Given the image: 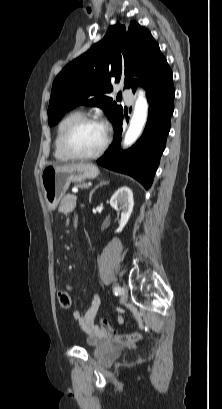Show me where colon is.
<instances>
[{
  "mask_svg": "<svg viewBox=\"0 0 222 409\" xmlns=\"http://www.w3.org/2000/svg\"><path fill=\"white\" fill-rule=\"evenodd\" d=\"M57 299L61 308L68 309L71 307V296L68 290L59 291L57 294ZM100 323L109 335V338L112 342L119 344H131L142 339V334L140 332L120 335L109 325V323L105 319L101 318Z\"/></svg>",
  "mask_w": 222,
  "mask_h": 409,
  "instance_id": "5ec220e1",
  "label": "colon"
}]
</instances>
